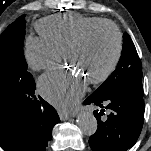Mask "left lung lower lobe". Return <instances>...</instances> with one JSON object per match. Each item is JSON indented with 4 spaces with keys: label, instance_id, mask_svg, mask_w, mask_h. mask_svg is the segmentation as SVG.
Instances as JSON below:
<instances>
[{
    "label": "left lung lower lobe",
    "instance_id": "0a47b994",
    "mask_svg": "<svg viewBox=\"0 0 151 151\" xmlns=\"http://www.w3.org/2000/svg\"><path fill=\"white\" fill-rule=\"evenodd\" d=\"M85 105L101 108L94 111L98 129L90 136L93 151H127L137 141L144 122V100L142 79H132L106 96H93L84 101ZM104 108L110 110L106 120H101Z\"/></svg>",
    "mask_w": 151,
    "mask_h": 151
}]
</instances>
